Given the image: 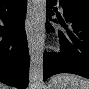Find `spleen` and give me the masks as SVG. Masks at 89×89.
I'll list each match as a JSON object with an SVG mask.
<instances>
[{"label": "spleen", "mask_w": 89, "mask_h": 89, "mask_svg": "<svg viewBox=\"0 0 89 89\" xmlns=\"http://www.w3.org/2000/svg\"><path fill=\"white\" fill-rule=\"evenodd\" d=\"M50 83L60 89H89V81L73 74H59L51 78Z\"/></svg>", "instance_id": "spleen-1"}]
</instances>
